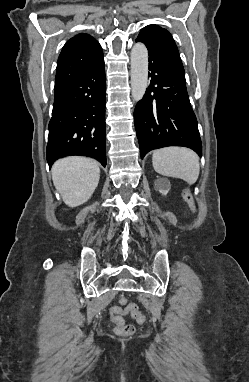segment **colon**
Returning <instances> with one entry per match:
<instances>
[{
  "instance_id": "5ec220e1",
  "label": "colon",
  "mask_w": 249,
  "mask_h": 382,
  "mask_svg": "<svg viewBox=\"0 0 249 382\" xmlns=\"http://www.w3.org/2000/svg\"><path fill=\"white\" fill-rule=\"evenodd\" d=\"M120 304L125 307H113L110 311L111 319L115 324L116 333L119 335L128 336L134 333L135 328L131 324H124L122 315L130 312L131 316L137 323H144L146 321L145 315L138 309L135 304H129L126 298L120 299Z\"/></svg>"
}]
</instances>
